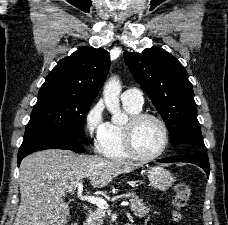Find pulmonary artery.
Masks as SVG:
<instances>
[{"label":"pulmonary artery","mask_w":228,"mask_h":225,"mask_svg":"<svg viewBox=\"0 0 228 225\" xmlns=\"http://www.w3.org/2000/svg\"><path fill=\"white\" fill-rule=\"evenodd\" d=\"M121 100L124 105H130L136 108H142L144 104L143 94L137 89L124 91L121 95Z\"/></svg>","instance_id":"obj_1"}]
</instances>
